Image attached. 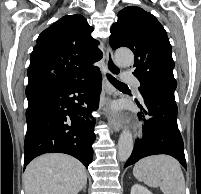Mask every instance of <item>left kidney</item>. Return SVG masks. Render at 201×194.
Listing matches in <instances>:
<instances>
[{"label": "left kidney", "mask_w": 201, "mask_h": 194, "mask_svg": "<svg viewBox=\"0 0 201 194\" xmlns=\"http://www.w3.org/2000/svg\"><path fill=\"white\" fill-rule=\"evenodd\" d=\"M131 194H153L147 188L143 187L142 185L135 184L131 188Z\"/></svg>", "instance_id": "obj_1"}]
</instances>
